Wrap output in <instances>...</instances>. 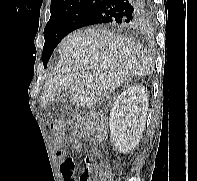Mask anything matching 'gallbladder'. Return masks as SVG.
<instances>
[{
  "instance_id": "bac80fb5",
  "label": "gallbladder",
  "mask_w": 197,
  "mask_h": 181,
  "mask_svg": "<svg viewBox=\"0 0 197 181\" xmlns=\"http://www.w3.org/2000/svg\"><path fill=\"white\" fill-rule=\"evenodd\" d=\"M70 91H65L61 96L55 97L49 104L48 110L54 113L56 116L58 113L66 111L69 104Z\"/></svg>"
}]
</instances>
